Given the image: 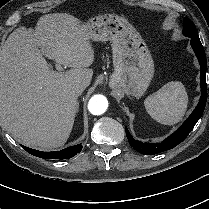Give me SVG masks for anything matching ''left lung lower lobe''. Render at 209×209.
<instances>
[{"label": "left lung lower lobe", "instance_id": "1", "mask_svg": "<svg viewBox=\"0 0 209 209\" xmlns=\"http://www.w3.org/2000/svg\"><path fill=\"white\" fill-rule=\"evenodd\" d=\"M191 46L200 63V87H201L200 101L196 106L195 110L185 121V123L161 143L158 144L143 143L138 140H135L133 139L132 135L129 133L127 127H125L126 136L129 141V144L141 154L154 155L174 148L188 136V134L191 132V130L193 129V127L195 126V124L203 114L207 101L206 55L199 38L191 39Z\"/></svg>", "mask_w": 209, "mask_h": 209}]
</instances>
